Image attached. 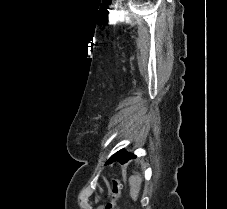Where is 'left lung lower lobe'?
Instances as JSON below:
<instances>
[{
  "mask_svg": "<svg viewBox=\"0 0 227 209\" xmlns=\"http://www.w3.org/2000/svg\"><path fill=\"white\" fill-rule=\"evenodd\" d=\"M132 157H134V155L133 154H131V153H126L125 155H124V157L120 160V163H125V162H127L130 158H132Z\"/></svg>",
  "mask_w": 227,
  "mask_h": 209,
  "instance_id": "obj_1",
  "label": "left lung lower lobe"
}]
</instances>
